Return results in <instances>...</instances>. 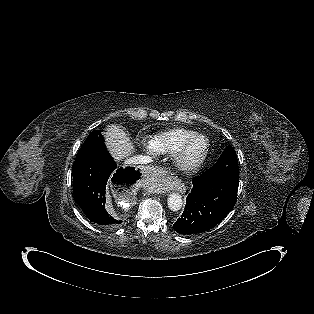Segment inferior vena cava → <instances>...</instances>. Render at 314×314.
I'll list each match as a JSON object with an SVG mask.
<instances>
[{"label": "inferior vena cava", "instance_id": "1", "mask_svg": "<svg viewBox=\"0 0 314 314\" xmlns=\"http://www.w3.org/2000/svg\"><path fill=\"white\" fill-rule=\"evenodd\" d=\"M152 161V158L149 156H143V155H136L129 159H127L125 162L129 165H138V164H148Z\"/></svg>", "mask_w": 314, "mask_h": 314}]
</instances>
